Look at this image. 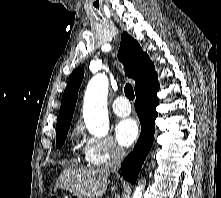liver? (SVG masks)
I'll return each mask as SVG.
<instances>
[{
  "mask_svg": "<svg viewBox=\"0 0 221 198\" xmlns=\"http://www.w3.org/2000/svg\"><path fill=\"white\" fill-rule=\"evenodd\" d=\"M109 172L101 169H65L59 176L55 189L62 188L84 198H101L107 190ZM116 185L111 187L115 192Z\"/></svg>",
  "mask_w": 221,
  "mask_h": 198,
  "instance_id": "6515ba94",
  "label": "liver"
}]
</instances>
